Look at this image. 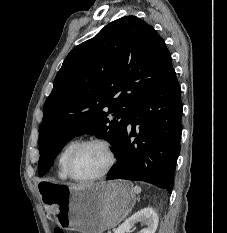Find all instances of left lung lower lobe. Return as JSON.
<instances>
[{
	"label": "left lung lower lobe",
	"mask_w": 227,
	"mask_h": 233,
	"mask_svg": "<svg viewBox=\"0 0 227 233\" xmlns=\"http://www.w3.org/2000/svg\"><path fill=\"white\" fill-rule=\"evenodd\" d=\"M181 117V89L172 69L159 87L132 106L115 152L117 163L106 180L145 181L171 193Z\"/></svg>",
	"instance_id": "1"
}]
</instances>
